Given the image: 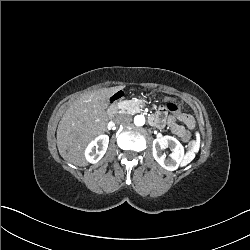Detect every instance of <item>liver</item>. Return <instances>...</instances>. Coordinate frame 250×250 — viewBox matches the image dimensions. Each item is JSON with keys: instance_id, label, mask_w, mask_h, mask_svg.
<instances>
[{"instance_id": "liver-1", "label": "liver", "mask_w": 250, "mask_h": 250, "mask_svg": "<svg viewBox=\"0 0 250 250\" xmlns=\"http://www.w3.org/2000/svg\"><path fill=\"white\" fill-rule=\"evenodd\" d=\"M120 87L82 94L64 113L57 129L60 155L77 166H86L83 147L93 136L106 130V100Z\"/></svg>"}]
</instances>
